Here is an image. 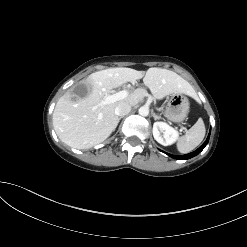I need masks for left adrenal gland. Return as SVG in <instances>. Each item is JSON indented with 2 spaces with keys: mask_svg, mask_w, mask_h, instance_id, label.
<instances>
[{
  "mask_svg": "<svg viewBox=\"0 0 247 247\" xmlns=\"http://www.w3.org/2000/svg\"><path fill=\"white\" fill-rule=\"evenodd\" d=\"M152 116L154 117V119H155V120H157V119H158V120H159V119H161V117H160V116H158V115H156L155 113H152Z\"/></svg>",
  "mask_w": 247,
  "mask_h": 247,
  "instance_id": "left-adrenal-gland-1",
  "label": "left adrenal gland"
}]
</instances>
